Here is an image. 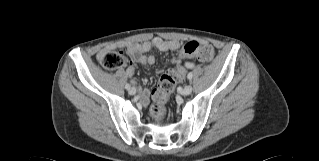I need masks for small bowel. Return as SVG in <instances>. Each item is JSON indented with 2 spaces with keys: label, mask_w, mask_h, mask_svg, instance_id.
<instances>
[{
  "label": "small bowel",
  "mask_w": 319,
  "mask_h": 161,
  "mask_svg": "<svg viewBox=\"0 0 319 161\" xmlns=\"http://www.w3.org/2000/svg\"><path fill=\"white\" fill-rule=\"evenodd\" d=\"M203 46H207V43L205 41H202ZM125 48L128 55L134 57L136 61L139 63L151 66L154 65L156 62V58L153 55H145V53L149 52L152 48L158 49L160 51L165 52H177L181 50V43L178 40L170 39L166 40L160 37H155L152 40L144 41L141 43H133V42H127V43H119V44H113L106 46L101 53H105L107 51L113 50L115 48ZM172 63L176 67L182 68V77L181 80H184L186 75L187 69L194 68L195 64L191 61H184L182 64V61L180 59H173ZM135 73V66L130 63V65L125 70V75L127 77H133ZM149 101V91L148 90H142L141 96H140V103L141 104H147Z\"/></svg>",
  "instance_id": "small-bowel-1"
}]
</instances>
